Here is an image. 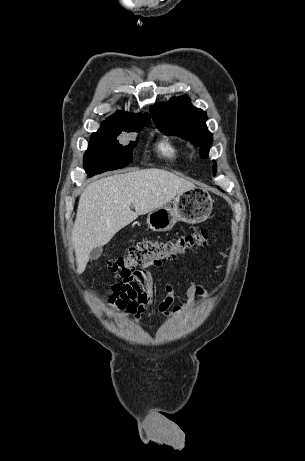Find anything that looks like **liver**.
Segmentation results:
<instances>
[{"label": "liver", "instance_id": "liver-1", "mask_svg": "<svg viewBox=\"0 0 305 461\" xmlns=\"http://www.w3.org/2000/svg\"><path fill=\"white\" fill-rule=\"evenodd\" d=\"M192 188L193 183L157 168L113 175L89 184L80 196L72 232L76 272H84L93 249L106 245L139 215L163 207Z\"/></svg>", "mask_w": 305, "mask_h": 461}]
</instances>
